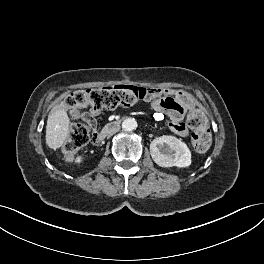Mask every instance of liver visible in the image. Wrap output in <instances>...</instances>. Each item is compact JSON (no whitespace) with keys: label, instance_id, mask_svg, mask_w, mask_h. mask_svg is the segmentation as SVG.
<instances>
[{"label":"liver","instance_id":"6515ba94","mask_svg":"<svg viewBox=\"0 0 264 264\" xmlns=\"http://www.w3.org/2000/svg\"><path fill=\"white\" fill-rule=\"evenodd\" d=\"M69 132V118L61 105L54 107L49 115L46 126V145L53 150L60 148Z\"/></svg>","mask_w":264,"mask_h":264}]
</instances>
